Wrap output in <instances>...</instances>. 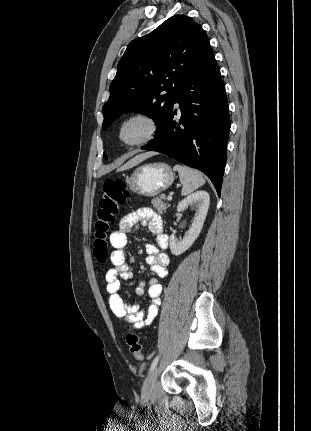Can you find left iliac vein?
<instances>
[{
	"label": "left iliac vein",
	"instance_id": "left-iliac-vein-1",
	"mask_svg": "<svg viewBox=\"0 0 311 431\" xmlns=\"http://www.w3.org/2000/svg\"><path fill=\"white\" fill-rule=\"evenodd\" d=\"M159 372V367H155L152 372H150L149 376L144 382L143 390H142V398L149 399L152 396V393L155 388L156 378Z\"/></svg>",
	"mask_w": 311,
	"mask_h": 431
}]
</instances>
